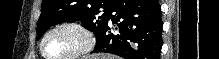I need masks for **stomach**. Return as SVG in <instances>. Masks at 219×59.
Wrapping results in <instances>:
<instances>
[{
    "instance_id": "1",
    "label": "stomach",
    "mask_w": 219,
    "mask_h": 59,
    "mask_svg": "<svg viewBox=\"0 0 219 59\" xmlns=\"http://www.w3.org/2000/svg\"><path fill=\"white\" fill-rule=\"evenodd\" d=\"M101 59H109L107 56H101Z\"/></svg>"
}]
</instances>
